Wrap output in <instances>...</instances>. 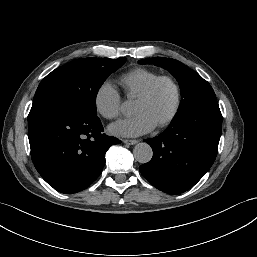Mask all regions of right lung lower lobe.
<instances>
[{"label":"right lung lower lobe","instance_id":"obj_1","mask_svg":"<svg viewBox=\"0 0 257 257\" xmlns=\"http://www.w3.org/2000/svg\"><path fill=\"white\" fill-rule=\"evenodd\" d=\"M28 137L35 168L66 194L87 188L101 174L109 147L121 143L103 133L97 116L66 110H31Z\"/></svg>","mask_w":257,"mask_h":257}]
</instances>
